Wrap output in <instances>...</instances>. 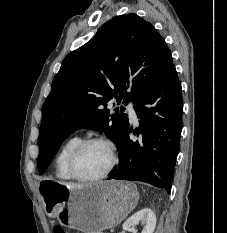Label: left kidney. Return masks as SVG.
<instances>
[{
	"mask_svg": "<svg viewBox=\"0 0 227 233\" xmlns=\"http://www.w3.org/2000/svg\"><path fill=\"white\" fill-rule=\"evenodd\" d=\"M142 225L141 233H153L156 227V216L154 212L149 208H144L136 212L123 224V230L132 233H137L135 228L138 224Z\"/></svg>",
	"mask_w": 227,
	"mask_h": 233,
	"instance_id": "1",
	"label": "left kidney"
}]
</instances>
